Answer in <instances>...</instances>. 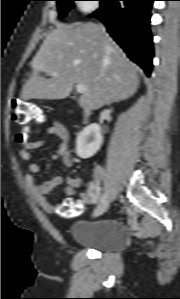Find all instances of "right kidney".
Masks as SVG:
<instances>
[{"instance_id": "right-kidney-1", "label": "right kidney", "mask_w": 180, "mask_h": 299, "mask_svg": "<svg viewBox=\"0 0 180 299\" xmlns=\"http://www.w3.org/2000/svg\"><path fill=\"white\" fill-rule=\"evenodd\" d=\"M103 138L100 126L90 124L84 128L76 139V153L80 158L87 159L92 157L100 149Z\"/></svg>"}]
</instances>
